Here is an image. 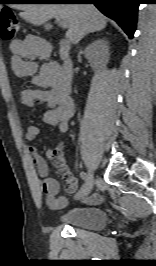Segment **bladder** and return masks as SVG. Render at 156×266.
Segmentation results:
<instances>
[{
  "label": "bladder",
  "instance_id": "obj_1",
  "mask_svg": "<svg viewBox=\"0 0 156 266\" xmlns=\"http://www.w3.org/2000/svg\"><path fill=\"white\" fill-rule=\"evenodd\" d=\"M59 221L72 227L99 230L107 225L108 215L97 207H73L62 213Z\"/></svg>",
  "mask_w": 156,
  "mask_h": 266
}]
</instances>
